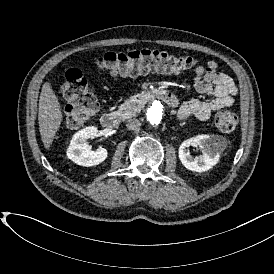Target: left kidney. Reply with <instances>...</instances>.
I'll return each instance as SVG.
<instances>
[{
    "instance_id": "1",
    "label": "left kidney",
    "mask_w": 274,
    "mask_h": 274,
    "mask_svg": "<svg viewBox=\"0 0 274 274\" xmlns=\"http://www.w3.org/2000/svg\"><path fill=\"white\" fill-rule=\"evenodd\" d=\"M186 145L202 150L199 158L191 157ZM226 148L225 139L219 135L200 134L179 147V159L184 167L193 172H205L213 168Z\"/></svg>"
}]
</instances>
